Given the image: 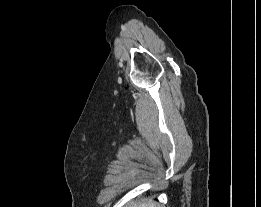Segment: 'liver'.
Listing matches in <instances>:
<instances>
[{"label":"liver","mask_w":261,"mask_h":207,"mask_svg":"<svg viewBox=\"0 0 261 207\" xmlns=\"http://www.w3.org/2000/svg\"><path fill=\"white\" fill-rule=\"evenodd\" d=\"M127 207H156V204L150 200L148 201H143L138 204H129Z\"/></svg>","instance_id":"6515ba94"}]
</instances>
